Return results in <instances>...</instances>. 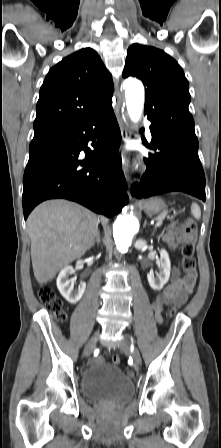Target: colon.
<instances>
[{"instance_id": "1", "label": "colon", "mask_w": 221, "mask_h": 448, "mask_svg": "<svg viewBox=\"0 0 221 448\" xmlns=\"http://www.w3.org/2000/svg\"><path fill=\"white\" fill-rule=\"evenodd\" d=\"M197 234V223L192 220L188 219L185 222V230L184 235L186 237V240L182 244L181 252L183 255V261H182V270L185 274H191L192 272H195L196 268V260L194 257V239ZM39 299L41 302H43L51 311L54 312L55 316L58 320L62 321L66 318L65 311L63 309L62 302L56 297L53 289L50 286H43L39 290ZM180 305L174 304L170 310L171 314H174L178 309ZM121 361L120 356L115 355L112 358L113 364H119ZM97 364H103L104 359L99 357L96 360ZM129 375H132V373H129Z\"/></svg>"}]
</instances>
